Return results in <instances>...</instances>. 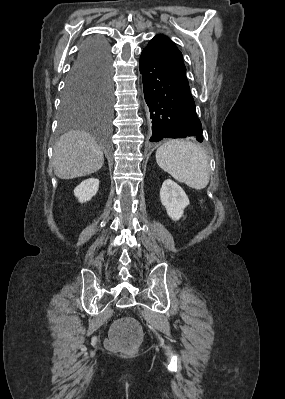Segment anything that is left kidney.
<instances>
[{
	"label": "left kidney",
	"mask_w": 285,
	"mask_h": 399,
	"mask_svg": "<svg viewBox=\"0 0 285 399\" xmlns=\"http://www.w3.org/2000/svg\"><path fill=\"white\" fill-rule=\"evenodd\" d=\"M160 199L168 216L174 221L182 217L184 209L189 205V199L184 190L171 179H166L163 182Z\"/></svg>",
	"instance_id": "5707ae66"
}]
</instances>
